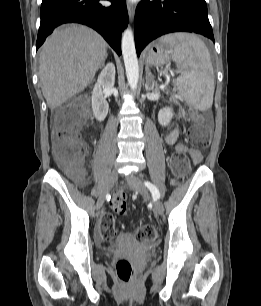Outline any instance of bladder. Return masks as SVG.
Wrapping results in <instances>:
<instances>
[{"label":"bladder","instance_id":"obj_1","mask_svg":"<svg viewBox=\"0 0 261 306\" xmlns=\"http://www.w3.org/2000/svg\"><path fill=\"white\" fill-rule=\"evenodd\" d=\"M130 239V236L126 233L124 234H121L120 236V245L122 246L121 247V250H125L126 246H127V241Z\"/></svg>","mask_w":261,"mask_h":306}]
</instances>
